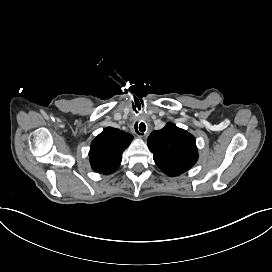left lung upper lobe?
Here are the masks:
<instances>
[{"label": "left lung upper lobe", "instance_id": "obj_1", "mask_svg": "<svg viewBox=\"0 0 272 272\" xmlns=\"http://www.w3.org/2000/svg\"><path fill=\"white\" fill-rule=\"evenodd\" d=\"M147 144L156 165L168 176L186 172L198 159L195 138L171 122L163 129L153 131Z\"/></svg>", "mask_w": 272, "mask_h": 272}]
</instances>
